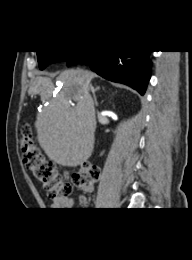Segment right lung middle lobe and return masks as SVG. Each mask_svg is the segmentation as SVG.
Wrapping results in <instances>:
<instances>
[{"instance_id":"right-lung-middle-lobe-1","label":"right lung middle lobe","mask_w":192,"mask_h":260,"mask_svg":"<svg viewBox=\"0 0 192 260\" xmlns=\"http://www.w3.org/2000/svg\"><path fill=\"white\" fill-rule=\"evenodd\" d=\"M74 51H37L39 67L43 70L48 65L66 61Z\"/></svg>"}]
</instances>
